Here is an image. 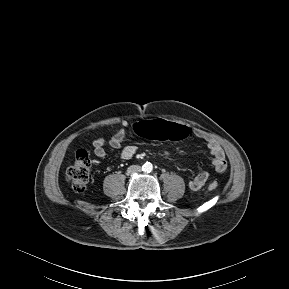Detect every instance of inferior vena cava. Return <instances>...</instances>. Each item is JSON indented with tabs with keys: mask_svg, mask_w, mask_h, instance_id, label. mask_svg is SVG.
<instances>
[{
	"mask_svg": "<svg viewBox=\"0 0 289 289\" xmlns=\"http://www.w3.org/2000/svg\"><path fill=\"white\" fill-rule=\"evenodd\" d=\"M128 173H139L141 172V166L139 165H131L127 169Z\"/></svg>",
	"mask_w": 289,
	"mask_h": 289,
	"instance_id": "obj_1",
	"label": "inferior vena cava"
}]
</instances>
